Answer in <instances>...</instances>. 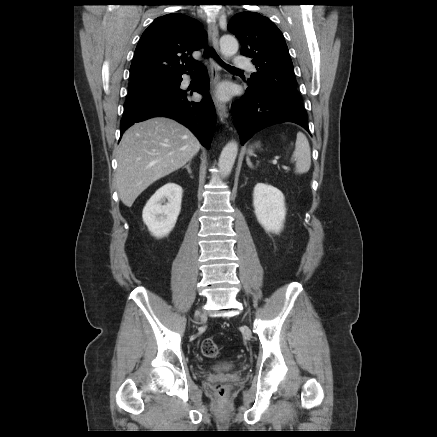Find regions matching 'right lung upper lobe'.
Masks as SVG:
<instances>
[{
	"label": "right lung upper lobe",
	"mask_w": 437,
	"mask_h": 437,
	"mask_svg": "<svg viewBox=\"0 0 437 437\" xmlns=\"http://www.w3.org/2000/svg\"><path fill=\"white\" fill-rule=\"evenodd\" d=\"M206 31L195 19L171 13L156 18L142 34L130 67V79L177 78L193 69L192 52L202 48Z\"/></svg>",
	"instance_id": "cb5924a9"
}]
</instances>
